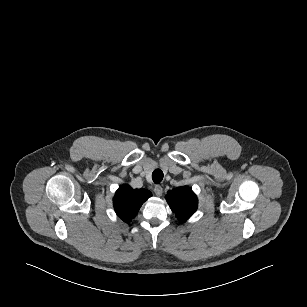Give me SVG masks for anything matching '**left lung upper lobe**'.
Segmentation results:
<instances>
[{"label":"left lung upper lobe","instance_id":"1","mask_svg":"<svg viewBox=\"0 0 307 307\" xmlns=\"http://www.w3.org/2000/svg\"><path fill=\"white\" fill-rule=\"evenodd\" d=\"M166 200L176 217L186 221L197 209L198 200L195 193L188 187H178L167 192Z\"/></svg>","mask_w":307,"mask_h":307}]
</instances>
